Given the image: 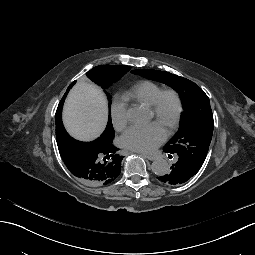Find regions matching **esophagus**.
<instances>
[{"label": "esophagus", "instance_id": "34e87169", "mask_svg": "<svg viewBox=\"0 0 255 255\" xmlns=\"http://www.w3.org/2000/svg\"><path fill=\"white\" fill-rule=\"evenodd\" d=\"M137 154L143 155V153H141V152H137ZM144 157L147 158L150 161H154L156 159V157L153 156V155H144Z\"/></svg>", "mask_w": 255, "mask_h": 255}]
</instances>
